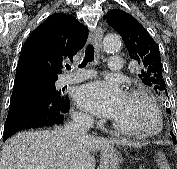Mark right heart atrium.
I'll list each match as a JSON object with an SVG mask.
<instances>
[{
    "instance_id": "d8ad5b80",
    "label": "right heart atrium",
    "mask_w": 177,
    "mask_h": 169,
    "mask_svg": "<svg viewBox=\"0 0 177 169\" xmlns=\"http://www.w3.org/2000/svg\"><path fill=\"white\" fill-rule=\"evenodd\" d=\"M75 118L78 121H84V122L91 121V118L87 114H84V113H76Z\"/></svg>"
}]
</instances>
